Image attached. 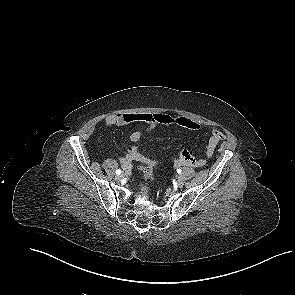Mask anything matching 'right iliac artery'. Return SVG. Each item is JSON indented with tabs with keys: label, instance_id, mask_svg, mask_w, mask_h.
<instances>
[{
	"label": "right iliac artery",
	"instance_id": "obj_1",
	"mask_svg": "<svg viewBox=\"0 0 295 295\" xmlns=\"http://www.w3.org/2000/svg\"><path fill=\"white\" fill-rule=\"evenodd\" d=\"M116 174H117V175L121 174V170H120V169H117V170H116Z\"/></svg>",
	"mask_w": 295,
	"mask_h": 295
}]
</instances>
